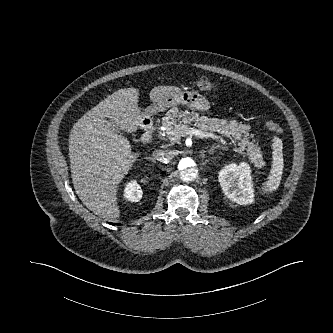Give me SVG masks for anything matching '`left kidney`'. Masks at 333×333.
<instances>
[{"label": "left kidney", "instance_id": "obj_1", "mask_svg": "<svg viewBox=\"0 0 333 333\" xmlns=\"http://www.w3.org/2000/svg\"><path fill=\"white\" fill-rule=\"evenodd\" d=\"M219 182L224 195L231 201L240 205L254 202L251 169L246 162L226 165L219 172Z\"/></svg>", "mask_w": 333, "mask_h": 333}]
</instances>
